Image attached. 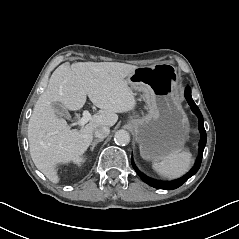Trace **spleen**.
Here are the masks:
<instances>
[{
    "mask_svg": "<svg viewBox=\"0 0 239 239\" xmlns=\"http://www.w3.org/2000/svg\"><path fill=\"white\" fill-rule=\"evenodd\" d=\"M193 165L192 155L188 151L170 154L160 162L152 164L153 170L163 178L174 179L181 177Z\"/></svg>",
    "mask_w": 239,
    "mask_h": 239,
    "instance_id": "3e777b00",
    "label": "spleen"
}]
</instances>
